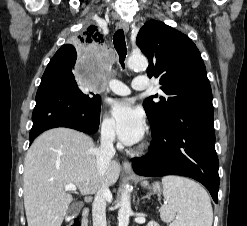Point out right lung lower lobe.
<instances>
[{
	"label": "right lung lower lobe",
	"mask_w": 247,
	"mask_h": 226,
	"mask_svg": "<svg viewBox=\"0 0 247 226\" xmlns=\"http://www.w3.org/2000/svg\"><path fill=\"white\" fill-rule=\"evenodd\" d=\"M100 105L84 94L68 73L56 64H48L36 94L32 114L30 144L45 130L68 127L84 133L99 128Z\"/></svg>",
	"instance_id": "1"
}]
</instances>
